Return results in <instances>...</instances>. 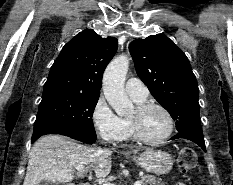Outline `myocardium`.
Here are the masks:
<instances>
[{
    "label": "myocardium",
    "mask_w": 233,
    "mask_h": 185,
    "mask_svg": "<svg viewBox=\"0 0 233 185\" xmlns=\"http://www.w3.org/2000/svg\"><path fill=\"white\" fill-rule=\"evenodd\" d=\"M150 108H157V109L161 110L166 115L168 122H169V128H168V131L166 132L165 135H163L162 137L157 138V139L147 138L142 133L137 118H129V122L131 125L133 136L136 140H138L142 143L148 144V145H158V144L165 142L166 140H168L172 136L174 129H175V121H174L173 115L165 106H163L160 103L154 102V101H144L142 103H139V104H137L135 110H136L137 115L139 116Z\"/></svg>",
    "instance_id": "1"
}]
</instances>
